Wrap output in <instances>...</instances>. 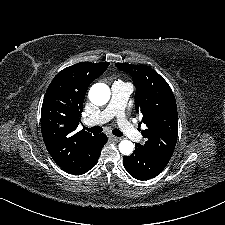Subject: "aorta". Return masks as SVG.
Segmentation results:
<instances>
[{
	"mask_svg": "<svg viewBox=\"0 0 225 225\" xmlns=\"http://www.w3.org/2000/svg\"><path fill=\"white\" fill-rule=\"evenodd\" d=\"M110 95V88L104 83L92 85L88 94L89 100L97 106L105 105L109 101ZM133 150L134 144L130 140H122L119 143V151L121 154L129 156L133 153Z\"/></svg>",
	"mask_w": 225,
	"mask_h": 225,
	"instance_id": "1",
	"label": "aorta"
}]
</instances>
